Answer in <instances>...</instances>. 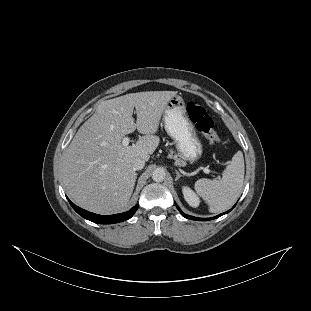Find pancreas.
Wrapping results in <instances>:
<instances>
[{"label": "pancreas", "instance_id": "pancreas-1", "mask_svg": "<svg viewBox=\"0 0 311 311\" xmlns=\"http://www.w3.org/2000/svg\"><path fill=\"white\" fill-rule=\"evenodd\" d=\"M169 156L175 160V165L180 166V167L186 166V161L183 160L179 154H175L173 150H170Z\"/></svg>", "mask_w": 311, "mask_h": 311}]
</instances>
